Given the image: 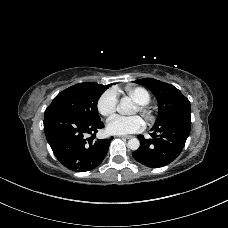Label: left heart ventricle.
Listing matches in <instances>:
<instances>
[{
  "instance_id": "obj_1",
  "label": "left heart ventricle",
  "mask_w": 228,
  "mask_h": 228,
  "mask_svg": "<svg viewBox=\"0 0 228 228\" xmlns=\"http://www.w3.org/2000/svg\"><path fill=\"white\" fill-rule=\"evenodd\" d=\"M138 112V108L136 107V109H135V113H137Z\"/></svg>"
}]
</instances>
